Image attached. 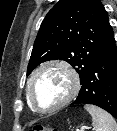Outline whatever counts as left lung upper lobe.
<instances>
[{
	"instance_id": "5c2ea615",
	"label": "left lung upper lobe",
	"mask_w": 117,
	"mask_h": 131,
	"mask_svg": "<svg viewBox=\"0 0 117 131\" xmlns=\"http://www.w3.org/2000/svg\"><path fill=\"white\" fill-rule=\"evenodd\" d=\"M112 34L108 13L100 0H59L44 18L27 68L64 60L78 72L80 82L108 44Z\"/></svg>"
}]
</instances>
